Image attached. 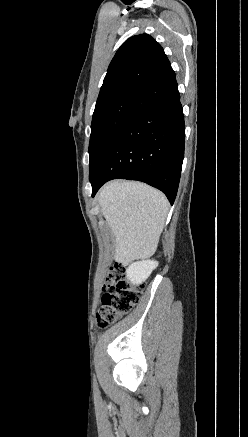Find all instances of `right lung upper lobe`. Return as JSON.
Masks as SVG:
<instances>
[{
	"instance_id": "obj_1",
	"label": "right lung upper lobe",
	"mask_w": 248,
	"mask_h": 437,
	"mask_svg": "<svg viewBox=\"0 0 248 437\" xmlns=\"http://www.w3.org/2000/svg\"><path fill=\"white\" fill-rule=\"evenodd\" d=\"M168 65L163 48L151 36L141 34L129 38L108 67L96 107L122 93L140 92Z\"/></svg>"
}]
</instances>
